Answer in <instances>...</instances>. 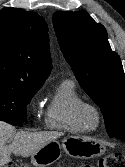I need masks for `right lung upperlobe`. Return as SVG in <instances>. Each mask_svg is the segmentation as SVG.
Here are the masks:
<instances>
[{
  "label": "right lung upper lobe",
  "instance_id": "1",
  "mask_svg": "<svg viewBox=\"0 0 125 167\" xmlns=\"http://www.w3.org/2000/svg\"><path fill=\"white\" fill-rule=\"evenodd\" d=\"M47 31L35 12L0 10V87L39 90L51 70Z\"/></svg>",
  "mask_w": 125,
  "mask_h": 167
}]
</instances>
